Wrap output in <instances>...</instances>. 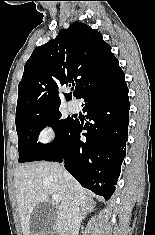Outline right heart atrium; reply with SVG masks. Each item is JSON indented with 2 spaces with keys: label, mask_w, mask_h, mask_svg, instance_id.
I'll use <instances>...</instances> for the list:
<instances>
[{
  "label": "right heart atrium",
  "mask_w": 155,
  "mask_h": 235,
  "mask_svg": "<svg viewBox=\"0 0 155 235\" xmlns=\"http://www.w3.org/2000/svg\"><path fill=\"white\" fill-rule=\"evenodd\" d=\"M56 137V130L53 125H44L38 132V141L43 144L51 143Z\"/></svg>",
  "instance_id": "d8ad5b80"
}]
</instances>
